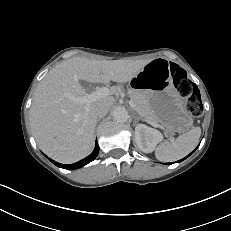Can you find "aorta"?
<instances>
[{"instance_id": "762f6f07", "label": "aorta", "mask_w": 231, "mask_h": 231, "mask_svg": "<svg viewBox=\"0 0 231 231\" xmlns=\"http://www.w3.org/2000/svg\"><path fill=\"white\" fill-rule=\"evenodd\" d=\"M113 119L117 122H126L128 120V112L125 107L118 106L113 109Z\"/></svg>"}]
</instances>
